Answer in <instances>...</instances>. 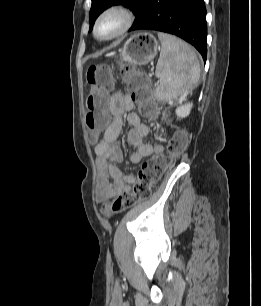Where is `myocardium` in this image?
Wrapping results in <instances>:
<instances>
[{"label": "myocardium", "instance_id": "1", "mask_svg": "<svg viewBox=\"0 0 261 306\" xmlns=\"http://www.w3.org/2000/svg\"><path fill=\"white\" fill-rule=\"evenodd\" d=\"M110 16H117L120 19L119 28L110 35L100 36L99 28L103 21ZM135 22V14L131 8L124 4H113L105 8L97 17L93 26V36L99 41H110L128 32Z\"/></svg>", "mask_w": 261, "mask_h": 306}]
</instances>
